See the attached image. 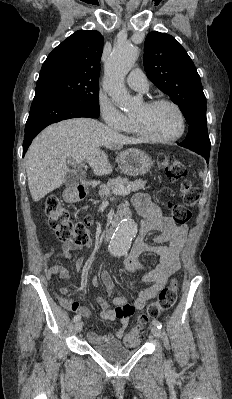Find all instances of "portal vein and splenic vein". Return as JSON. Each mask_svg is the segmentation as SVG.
Returning a JSON list of instances; mask_svg holds the SVG:
<instances>
[{"instance_id": "portal-vein-and-splenic-vein-1", "label": "portal vein and splenic vein", "mask_w": 232, "mask_h": 399, "mask_svg": "<svg viewBox=\"0 0 232 399\" xmlns=\"http://www.w3.org/2000/svg\"><path fill=\"white\" fill-rule=\"evenodd\" d=\"M83 160H76V162H73V160H70V164H82ZM131 190H113L112 194H116V196H128L130 194Z\"/></svg>"}]
</instances>
